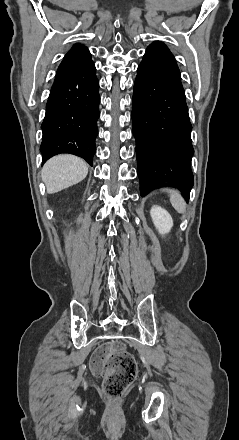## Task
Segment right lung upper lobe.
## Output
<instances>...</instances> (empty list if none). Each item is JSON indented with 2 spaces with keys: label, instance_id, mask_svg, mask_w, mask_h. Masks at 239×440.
<instances>
[{
  "label": "right lung upper lobe",
  "instance_id": "right-lung-upper-lobe-1",
  "mask_svg": "<svg viewBox=\"0 0 239 440\" xmlns=\"http://www.w3.org/2000/svg\"><path fill=\"white\" fill-rule=\"evenodd\" d=\"M89 64L92 63L91 54L87 47L75 44L71 50L65 55L61 64Z\"/></svg>",
  "mask_w": 239,
  "mask_h": 440
}]
</instances>
